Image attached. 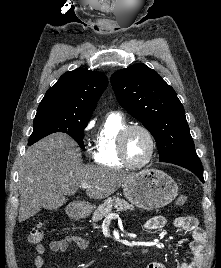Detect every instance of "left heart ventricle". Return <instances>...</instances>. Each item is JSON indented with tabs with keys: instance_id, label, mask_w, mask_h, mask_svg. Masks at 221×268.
<instances>
[{
	"instance_id": "left-heart-ventricle-1",
	"label": "left heart ventricle",
	"mask_w": 221,
	"mask_h": 268,
	"mask_svg": "<svg viewBox=\"0 0 221 268\" xmlns=\"http://www.w3.org/2000/svg\"><path fill=\"white\" fill-rule=\"evenodd\" d=\"M126 151L132 163H142L150 152V141L147 135L140 130L131 131L127 136Z\"/></svg>"
}]
</instances>
